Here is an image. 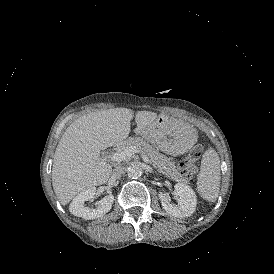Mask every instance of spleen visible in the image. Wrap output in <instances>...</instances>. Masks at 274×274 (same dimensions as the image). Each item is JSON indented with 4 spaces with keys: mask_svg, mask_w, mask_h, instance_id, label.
Segmentation results:
<instances>
[{
    "mask_svg": "<svg viewBox=\"0 0 274 274\" xmlns=\"http://www.w3.org/2000/svg\"><path fill=\"white\" fill-rule=\"evenodd\" d=\"M220 159L214 149H208L203 154L200 172L197 176V191L200 196L214 202L219 194L221 179Z\"/></svg>",
    "mask_w": 274,
    "mask_h": 274,
    "instance_id": "3e777b00",
    "label": "spleen"
}]
</instances>
